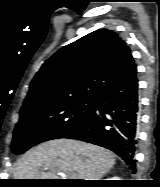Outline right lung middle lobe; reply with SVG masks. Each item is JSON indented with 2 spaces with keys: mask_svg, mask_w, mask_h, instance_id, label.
<instances>
[{
  "mask_svg": "<svg viewBox=\"0 0 160 187\" xmlns=\"http://www.w3.org/2000/svg\"><path fill=\"white\" fill-rule=\"evenodd\" d=\"M96 98H79L40 109L20 112L16 124L12 151L22 154L32 146L75 131L93 114Z\"/></svg>",
  "mask_w": 160,
  "mask_h": 187,
  "instance_id": "obj_1",
  "label": "right lung middle lobe"
}]
</instances>
